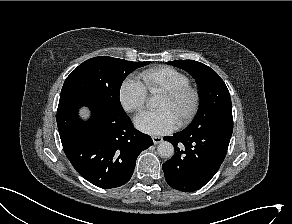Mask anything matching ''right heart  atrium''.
Masks as SVG:
<instances>
[{"label":"right heart atrium","mask_w":292,"mask_h":224,"mask_svg":"<svg viewBox=\"0 0 292 224\" xmlns=\"http://www.w3.org/2000/svg\"><path fill=\"white\" fill-rule=\"evenodd\" d=\"M118 95L123 109L127 112L141 111L147 100L146 88L134 78H127L121 83Z\"/></svg>","instance_id":"right-heart-atrium-1"}]
</instances>
